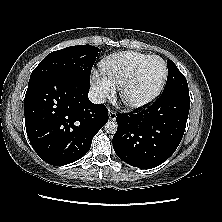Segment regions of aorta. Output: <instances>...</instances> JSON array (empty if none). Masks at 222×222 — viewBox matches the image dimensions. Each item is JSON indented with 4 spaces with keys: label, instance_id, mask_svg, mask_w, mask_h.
I'll list each match as a JSON object with an SVG mask.
<instances>
[{
    "label": "aorta",
    "instance_id": "aorta-1",
    "mask_svg": "<svg viewBox=\"0 0 222 222\" xmlns=\"http://www.w3.org/2000/svg\"><path fill=\"white\" fill-rule=\"evenodd\" d=\"M105 131L109 134H115L118 128V125L115 121H108L105 126Z\"/></svg>",
    "mask_w": 222,
    "mask_h": 222
}]
</instances>
